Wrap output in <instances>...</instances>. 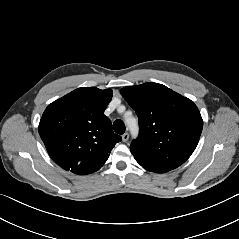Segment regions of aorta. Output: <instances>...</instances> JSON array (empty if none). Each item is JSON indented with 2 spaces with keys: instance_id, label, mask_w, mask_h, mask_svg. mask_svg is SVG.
I'll list each match as a JSON object with an SVG mask.
<instances>
[{
  "instance_id": "obj_1",
  "label": "aorta",
  "mask_w": 239,
  "mask_h": 239,
  "mask_svg": "<svg viewBox=\"0 0 239 239\" xmlns=\"http://www.w3.org/2000/svg\"><path fill=\"white\" fill-rule=\"evenodd\" d=\"M128 124H129V127H130L131 132H132L133 134H136V133H137V125H136L135 123L130 124L129 122H128Z\"/></svg>"
}]
</instances>
